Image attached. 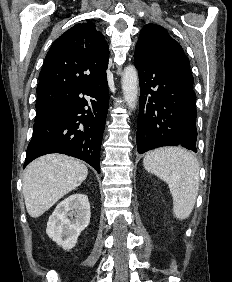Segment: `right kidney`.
Here are the masks:
<instances>
[{"label":"right kidney","mask_w":232,"mask_h":282,"mask_svg":"<svg viewBox=\"0 0 232 282\" xmlns=\"http://www.w3.org/2000/svg\"><path fill=\"white\" fill-rule=\"evenodd\" d=\"M90 204L85 194L70 195L55 208L47 222L46 233L65 250L72 249L90 222Z\"/></svg>","instance_id":"1"}]
</instances>
